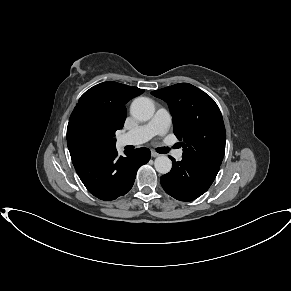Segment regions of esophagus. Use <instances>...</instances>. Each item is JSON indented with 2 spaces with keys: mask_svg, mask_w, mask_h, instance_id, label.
<instances>
[{
  "mask_svg": "<svg viewBox=\"0 0 291 291\" xmlns=\"http://www.w3.org/2000/svg\"><path fill=\"white\" fill-rule=\"evenodd\" d=\"M151 156L155 158V157L160 156V154L155 151H151Z\"/></svg>",
  "mask_w": 291,
  "mask_h": 291,
  "instance_id": "esophagus-1",
  "label": "esophagus"
}]
</instances>
